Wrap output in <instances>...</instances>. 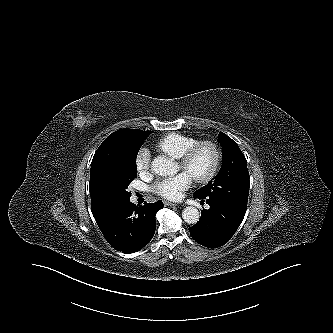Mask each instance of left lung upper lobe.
Masks as SVG:
<instances>
[{
  "label": "left lung upper lobe",
  "mask_w": 333,
  "mask_h": 333,
  "mask_svg": "<svg viewBox=\"0 0 333 333\" xmlns=\"http://www.w3.org/2000/svg\"><path fill=\"white\" fill-rule=\"evenodd\" d=\"M218 141L223 152L222 167L206 186L195 191L194 196L216 197L241 207H247L249 172L246 158L237 143L223 132L219 133Z\"/></svg>",
  "instance_id": "obj_1"
}]
</instances>
